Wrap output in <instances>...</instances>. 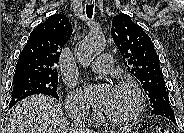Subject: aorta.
Listing matches in <instances>:
<instances>
[{"label":"aorta","mask_w":184,"mask_h":133,"mask_svg":"<svg viewBox=\"0 0 184 133\" xmlns=\"http://www.w3.org/2000/svg\"><path fill=\"white\" fill-rule=\"evenodd\" d=\"M105 48V39L100 34H89L77 45L75 52L77 59L83 67H88L90 63L100 55Z\"/></svg>","instance_id":"obj_1"}]
</instances>
